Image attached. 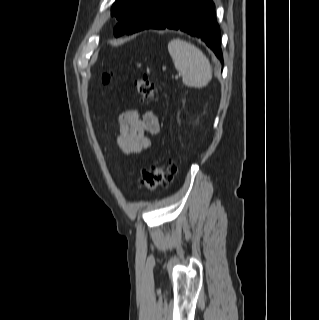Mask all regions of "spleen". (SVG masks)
<instances>
[{"label":"spleen","instance_id":"3e777b00","mask_svg":"<svg viewBox=\"0 0 319 320\" xmlns=\"http://www.w3.org/2000/svg\"><path fill=\"white\" fill-rule=\"evenodd\" d=\"M168 51L186 86L201 88L211 81V65L196 46L181 39H173L168 44Z\"/></svg>","mask_w":319,"mask_h":320}]
</instances>
